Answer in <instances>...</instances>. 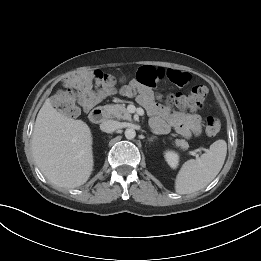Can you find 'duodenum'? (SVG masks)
I'll return each mask as SVG.
<instances>
[{"instance_id": "duodenum-1", "label": "duodenum", "mask_w": 261, "mask_h": 261, "mask_svg": "<svg viewBox=\"0 0 261 261\" xmlns=\"http://www.w3.org/2000/svg\"><path fill=\"white\" fill-rule=\"evenodd\" d=\"M105 110L103 107H95L89 114V119L91 122L98 124L105 119Z\"/></svg>"}]
</instances>
